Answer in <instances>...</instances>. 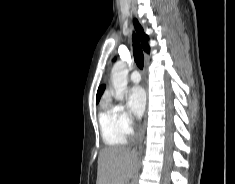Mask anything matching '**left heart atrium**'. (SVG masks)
<instances>
[{
  "mask_svg": "<svg viewBox=\"0 0 235 184\" xmlns=\"http://www.w3.org/2000/svg\"><path fill=\"white\" fill-rule=\"evenodd\" d=\"M129 109L133 117H142L146 107V93L141 87H135L129 94Z\"/></svg>",
  "mask_w": 235,
  "mask_h": 184,
  "instance_id": "39dd6f15",
  "label": "left heart atrium"
}]
</instances>
